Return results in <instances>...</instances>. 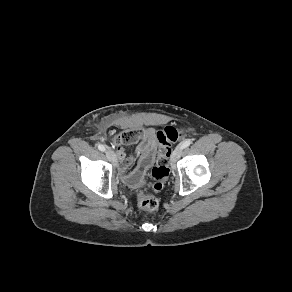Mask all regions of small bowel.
<instances>
[{
	"mask_svg": "<svg viewBox=\"0 0 292 292\" xmlns=\"http://www.w3.org/2000/svg\"><path fill=\"white\" fill-rule=\"evenodd\" d=\"M116 157L122 172H127L134 163L135 157L138 158L136 167L132 175L136 178H142L155 162L157 149L159 146L154 129H148L142 140L136 146L134 155L127 154L123 145L116 144Z\"/></svg>",
	"mask_w": 292,
	"mask_h": 292,
	"instance_id": "c3829d8e",
	"label": "small bowel"
}]
</instances>
